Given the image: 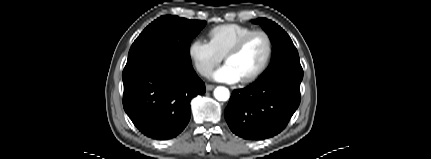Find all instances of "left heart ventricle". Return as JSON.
<instances>
[{"label": "left heart ventricle", "mask_w": 431, "mask_h": 159, "mask_svg": "<svg viewBox=\"0 0 431 159\" xmlns=\"http://www.w3.org/2000/svg\"><path fill=\"white\" fill-rule=\"evenodd\" d=\"M267 55V42L262 35H256L249 40L240 53L227 59L240 79L254 73L264 62Z\"/></svg>", "instance_id": "1"}]
</instances>
